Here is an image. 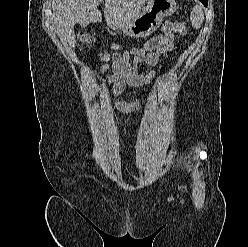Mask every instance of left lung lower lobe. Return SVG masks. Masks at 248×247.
<instances>
[{"label": "left lung lower lobe", "mask_w": 248, "mask_h": 247, "mask_svg": "<svg viewBox=\"0 0 248 247\" xmlns=\"http://www.w3.org/2000/svg\"><path fill=\"white\" fill-rule=\"evenodd\" d=\"M204 6H207V0H199Z\"/></svg>", "instance_id": "left-lung-lower-lobe-1"}]
</instances>
